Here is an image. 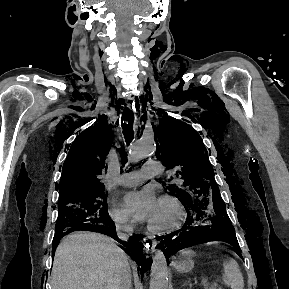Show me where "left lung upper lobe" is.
Returning <instances> with one entry per match:
<instances>
[{
  "instance_id": "1",
  "label": "left lung upper lobe",
  "mask_w": 289,
  "mask_h": 289,
  "mask_svg": "<svg viewBox=\"0 0 289 289\" xmlns=\"http://www.w3.org/2000/svg\"><path fill=\"white\" fill-rule=\"evenodd\" d=\"M163 116L159 126H153L158 144L156 157L166 167H177L178 184L167 186L185 206H193L196 201L206 203L208 209L216 201H223L214 179V170L208 160V152L200 135L187 123Z\"/></svg>"
}]
</instances>
